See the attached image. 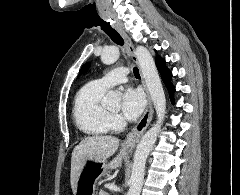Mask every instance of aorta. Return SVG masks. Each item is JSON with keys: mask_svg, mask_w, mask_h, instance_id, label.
I'll list each match as a JSON object with an SVG mask.
<instances>
[{"mask_svg": "<svg viewBox=\"0 0 240 195\" xmlns=\"http://www.w3.org/2000/svg\"><path fill=\"white\" fill-rule=\"evenodd\" d=\"M135 54L140 66L141 74L143 78H145L148 92L156 109L157 123H155L153 127H150V129L144 133L136 147L132 173L130 177V187L127 195H140L143 185L146 159L150 153V149H152L157 139V135L161 129V125L165 117L166 109V99L163 86L158 76L155 62L149 50L144 48V46H137ZM119 56V48H115V46H109V48H105V50H103L101 62H103V64H107V66H110V64L117 62ZM116 96L117 94H115L113 90H110V92L107 94V98L111 99H116Z\"/></svg>", "mask_w": 240, "mask_h": 195, "instance_id": "1", "label": "aorta"}]
</instances>
